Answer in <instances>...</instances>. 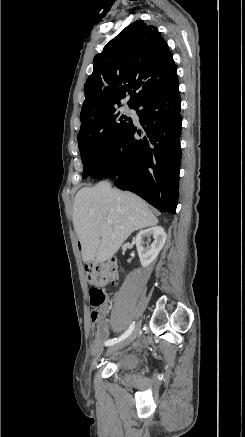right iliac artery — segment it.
<instances>
[{
    "mask_svg": "<svg viewBox=\"0 0 245 437\" xmlns=\"http://www.w3.org/2000/svg\"><path fill=\"white\" fill-rule=\"evenodd\" d=\"M134 327H135V322H133V323L130 325V327L128 328V330H127L125 333H123L119 338H114V339H109V340H107V341L105 342V346H111V345H114V344H116V343L121 342L122 340H124L125 338H127V337L132 333V331L134 330Z\"/></svg>",
    "mask_w": 245,
    "mask_h": 437,
    "instance_id": "82829eb1",
    "label": "right iliac artery"
}]
</instances>
